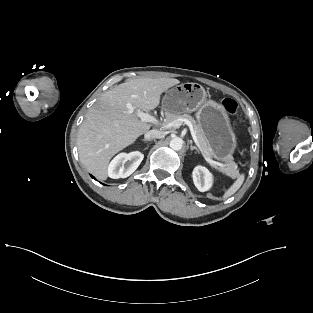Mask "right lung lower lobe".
<instances>
[{
    "label": "right lung lower lobe",
    "instance_id": "98d812e1",
    "mask_svg": "<svg viewBox=\"0 0 313 313\" xmlns=\"http://www.w3.org/2000/svg\"><path fill=\"white\" fill-rule=\"evenodd\" d=\"M91 177L95 179V177H94V176H92V175H91Z\"/></svg>",
    "mask_w": 313,
    "mask_h": 313
}]
</instances>
